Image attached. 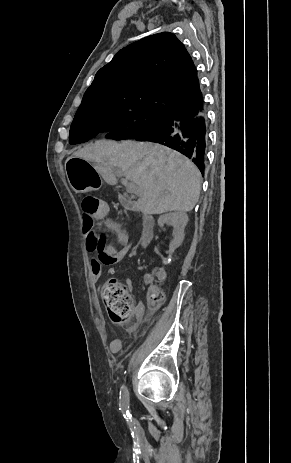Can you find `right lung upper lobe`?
Listing matches in <instances>:
<instances>
[{"mask_svg":"<svg viewBox=\"0 0 291 463\" xmlns=\"http://www.w3.org/2000/svg\"><path fill=\"white\" fill-rule=\"evenodd\" d=\"M202 100L189 53L174 34L163 32L121 49L96 73L79 109L123 101L164 115H195Z\"/></svg>","mask_w":291,"mask_h":463,"instance_id":"right-lung-upper-lobe-1","label":"right lung upper lobe"}]
</instances>
